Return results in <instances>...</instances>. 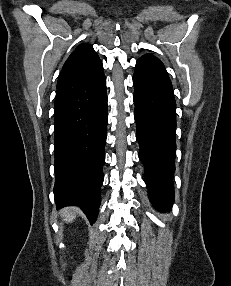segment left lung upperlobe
Listing matches in <instances>:
<instances>
[{"label":"left lung upper lobe","mask_w":231,"mask_h":286,"mask_svg":"<svg viewBox=\"0 0 231 286\" xmlns=\"http://www.w3.org/2000/svg\"><path fill=\"white\" fill-rule=\"evenodd\" d=\"M141 58H145V59H151V60H156V61H160L158 58H156L155 56L148 54V55H144ZM161 62V61H160Z\"/></svg>","instance_id":"5c2ea615"}]
</instances>
